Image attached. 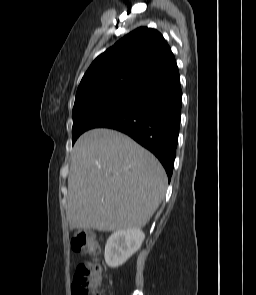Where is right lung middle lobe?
<instances>
[{
	"label": "right lung middle lobe",
	"mask_w": 256,
	"mask_h": 295,
	"mask_svg": "<svg viewBox=\"0 0 256 295\" xmlns=\"http://www.w3.org/2000/svg\"><path fill=\"white\" fill-rule=\"evenodd\" d=\"M135 97L136 92H128L91 104L75 102L72 128L73 144L86 130L99 127L121 113L133 102Z\"/></svg>",
	"instance_id": "1"
}]
</instances>
